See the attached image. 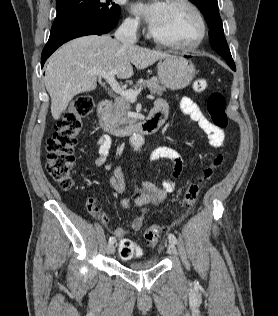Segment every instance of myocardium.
I'll list each match as a JSON object with an SVG mask.
<instances>
[{"label":"myocardium","instance_id":"myocardium-1","mask_svg":"<svg viewBox=\"0 0 278 316\" xmlns=\"http://www.w3.org/2000/svg\"><path fill=\"white\" fill-rule=\"evenodd\" d=\"M168 3L169 4L185 6L193 13V15L195 16V18L197 20V23H198V34H197V36L190 43L177 44V43L164 41V40L158 38L152 32V30H150V32H149L150 39L155 44H157L159 46H162V47H165V48H169V49H173V50L192 51V50L196 49L197 47H199L201 45V43L205 39L206 31H207L206 22H205V19H204V16H203L201 10L191 0H168Z\"/></svg>","mask_w":278,"mask_h":316}]
</instances>
